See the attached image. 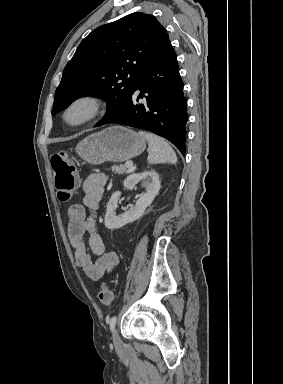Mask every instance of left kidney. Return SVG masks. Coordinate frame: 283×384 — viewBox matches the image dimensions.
Wrapping results in <instances>:
<instances>
[{"label":"left kidney","mask_w":283,"mask_h":384,"mask_svg":"<svg viewBox=\"0 0 283 384\" xmlns=\"http://www.w3.org/2000/svg\"><path fill=\"white\" fill-rule=\"evenodd\" d=\"M139 182H142L141 186L142 188H146V192L140 196L135 206H132V208L127 210V212H124V214H119V216L116 214L121 192H114V194H112L107 204L105 216V226L108 230H117V228H123L125 224H129V222H135V220L141 218L146 208L152 204L155 196H157L160 190L158 174L153 172V170H151V172H143V174H130L124 182V188L133 190Z\"/></svg>","instance_id":"5707ae66"}]
</instances>
